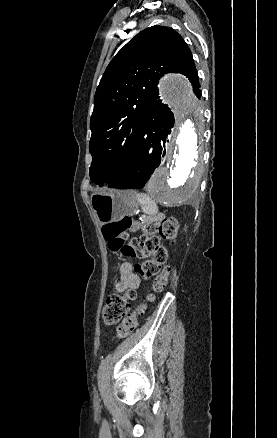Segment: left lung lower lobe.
I'll return each mask as SVG.
<instances>
[{
	"instance_id": "0a47b994",
	"label": "left lung lower lobe",
	"mask_w": 277,
	"mask_h": 438,
	"mask_svg": "<svg viewBox=\"0 0 277 438\" xmlns=\"http://www.w3.org/2000/svg\"><path fill=\"white\" fill-rule=\"evenodd\" d=\"M174 125V116L157 97L150 100L140 124L134 154L122 175L108 187L141 189L160 165L165 142Z\"/></svg>"
}]
</instances>
